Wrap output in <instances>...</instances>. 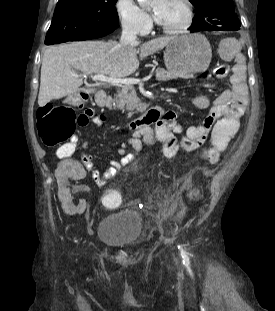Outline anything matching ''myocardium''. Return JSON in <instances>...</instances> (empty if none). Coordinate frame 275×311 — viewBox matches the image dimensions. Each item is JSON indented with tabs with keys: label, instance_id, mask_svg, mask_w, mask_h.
<instances>
[{
	"label": "myocardium",
	"instance_id": "f54148a6",
	"mask_svg": "<svg viewBox=\"0 0 275 311\" xmlns=\"http://www.w3.org/2000/svg\"><path fill=\"white\" fill-rule=\"evenodd\" d=\"M181 2L185 5L186 8V12H187V17L185 22L178 27H174V28H170V27H166L163 26L162 24H160L157 20H156V24L158 26V28L166 34H178V33H182L184 31H186L187 29L190 28V26L192 25L193 21H194V7L193 4L191 2V0H181Z\"/></svg>",
	"mask_w": 275,
	"mask_h": 311
}]
</instances>
